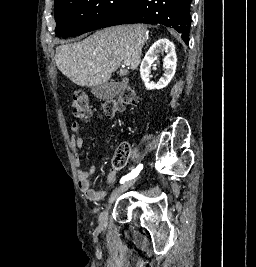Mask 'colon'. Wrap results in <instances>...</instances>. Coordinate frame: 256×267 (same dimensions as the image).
I'll return each instance as SVG.
<instances>
[{
  "mask_svg": "<svg viewBox=\"0 0 256 267\" xmlns=\"http://www.w3.org/2000/svg\"><path fill=\"white\" fill-rule=\"evenodd\" d=\"M138 100L136 91L131 87H126L119 92L117 97L108 98L101 101L100 111L104 116H112L124 110L128 105ZM92 106L86 95L76 92L72 97V111L74 116L79 120L89 118ZM130 149L128 145L118 147L113 162L116 167H122L128 160Z\"/></svg>",
  "mask_w": 256,
  "mask_h": 267,
  "instance_id": "5ec220e1",
  "label": "colon"
}]
</instances>
